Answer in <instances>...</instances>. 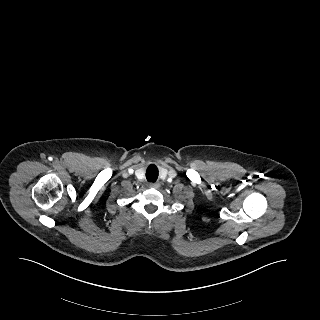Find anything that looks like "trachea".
Returning a JSON list of instances; mask_svg holds the SVG:
<instances>
[{"mask_svg": "<svg viewBox=\"0 0 320 320\" xmlns=\"http://www.w3.org/2000/svg\"><path fill=\"white\" fill-rule=\"evenodd\" d=\"M157 178H158V172H157L156 168H154V167L148 168V170L146 172V179L150 182H154L157 180Z\"/></svg>", "mask_w": 320, "mask_h": 320, "instance_id": "1", "label": "trachea"}]
</instances>
